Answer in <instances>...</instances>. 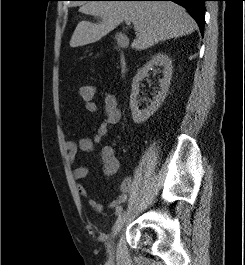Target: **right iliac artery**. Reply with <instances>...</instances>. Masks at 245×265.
Masks as SVG:
<instances>
[{"label": "right iliac artery", "mask_w": 245, "mask_h": 265, "mask_svg": "<svg viewBox=\"0 0 245 265\" xmlns=\"http://www.w3.org/2000/svg\"><path fill=\"white\" fill-rule=\"evenodd\" d=\"M122 210H123L122 206H118V207L116 208V214H117V215L121 214Z\"/></svg>", "instance_id": "obj_1"}]
</instances>
